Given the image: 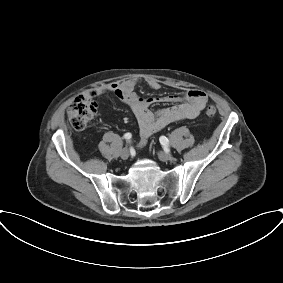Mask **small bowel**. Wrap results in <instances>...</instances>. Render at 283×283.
<instances>
[{
    "mask_svg": "<svg viewBox=\"0 0 283 283\" xmlns=\"http://www.w3.org/2000/svg\"><path fill=\"white\" fill-rule=\"evenodd\" d=\"M137 83V79L112 82L89 90L85 95L96 97L110 93L128 105L139 124L140 141L138 148L144 147L152 134L169 124L198 116L208 101L206 93L196 89L187 91L183 96L168 95L142 98L135 92ZM146 83L153 90L161 88V84L156 79H148ZM158 103H173L174 105L153 112L151 106Z\"/></svg>",
    "mask_w": 283,
    "mask_h": 283,
    "instance_id": "obj_1",
    "label": "small bowel"
}]
</instances>
